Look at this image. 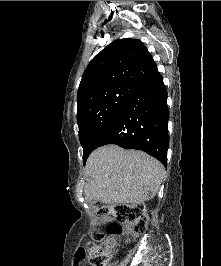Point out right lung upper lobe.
<instances>
[{
  "label": "right lung upper lobe",
  "instance_id": "cb5924a9",
  "mask_svg": "<svg viewBox=\"0 0 221 266\" xmlns=\"http://www.w3.org/2000/svg\"><path fill=\"white\" fill-rule=\"evenodd\" d=\"M146 46L138 39H117L88 64L78 88L79 103L89 93L118 85L137 87L157 73Z\"/></svg>",
  "mask_w": 221,
  "mask_h": 266
}]
</instances>
